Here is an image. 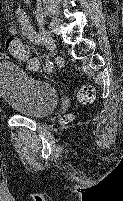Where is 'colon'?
I'll use <instances>...</instances> for the list:
<instances>
[{
    "label": "colon",
    "mask_w": 123,
    "mask_h": 201,
    "mask_svg": "<svg viewBox=\"0 0 123 201\" xmlns=\"http://www.w3.org/2000/svg\"><path fill=\"white\" fill-rule=\"evenodd\" d=\"M5 46L16 59L27 61L31 68L37 66V62L29 57L28 48L24 46L18 38L9 37L6 40ZM95 98L96 92L91 85H84L78 92V100L82 104H91L95 101Z\"/></svg>",
    "instance_id": "obj_1"
}]
</instances>
